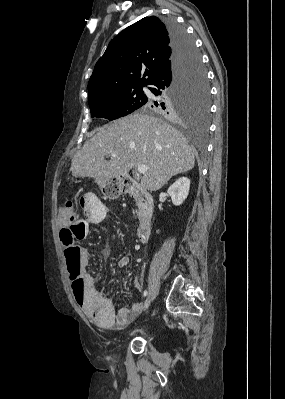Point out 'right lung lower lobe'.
Instances as JSON below:
<instances>
[{
    "label": "right lung lower lobe",
    "instance_id": "obj_1",
    "mask_svg": "<svg viewBox=\"0 0 285 399\" xmlns=\"http://www.w3.org/2000/svg\"><path fill=\"white\" fill-rule=\"evenodd\" d=\"M165 25L169 32L172 56L168 67L160 71L151 82L154 87L149 89L155 96L170 93L171 89L180 81L195 53V44L183 27L174 20L166 22ZM159 104L166 107L167 110L173 107L170 100L159 102Z\"/></svg>",
    "mask_w": 285,
    "mask_h": 399
}]
</instances>
